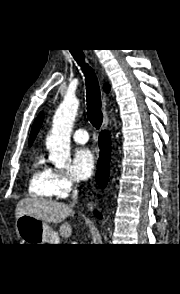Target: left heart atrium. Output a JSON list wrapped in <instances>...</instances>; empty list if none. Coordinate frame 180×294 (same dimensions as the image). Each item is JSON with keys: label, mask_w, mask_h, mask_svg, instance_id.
<instances>
[{"label": "left heart atrium", "mask_w": 180, "mask_h": 294, "mask_svg": "<svg viewBox=\"0 0 180 294\" xmlns=\"http://www.w3.org/2000/svg\"><path fill=\"white\" fill-rule=\"evenodd\" d=\"M95 157L87 148L78 149L72 160V173L78 179L85 180L94 170Z\"/></svg>", "instance_id": "1"}]
</instances>
